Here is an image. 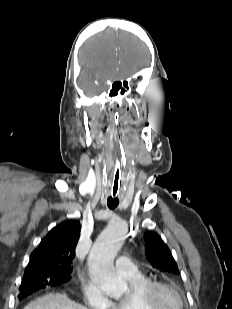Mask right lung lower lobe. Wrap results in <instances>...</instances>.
Here are the masks:
<instances>
[{
	"label": "right lung lower lobe",
	"instance_id": "right-lung-lower-lobe-1",
	"mask_svg": "<svg viewBox=\"0 0 232 309\" xmlns=\"http://www.w3.org/2000/svg\"><path fill=\"white\" fill-rule=\"evenodd\" d=\"M35 291H37V290H35V288H33V287H28V288L22 289L20 291V294H19V299L22 300V299L26 298L27 296L31 295Z\"/></svg>",
	"mask_w": 232,
	"mask_h": 309
}]
</instances>
